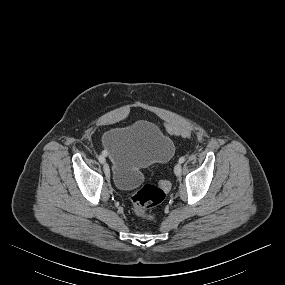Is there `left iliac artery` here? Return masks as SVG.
Returning <instances> with one entry per match:
<instances>
[{"instance_id":"1","label":"left iliac artery","mask_w":285,"mask_h":285,"mask_svg":"<svg viewBox=\"0 0 285 285\" xmlns=\"http://www.w3.org/2000/svg\"><path fill=\"white\" fill-rule=\"evenodd\" d=\"M186 160V158L184 156L179 158V163H183Z\"/></svg>"}]
</instances>
